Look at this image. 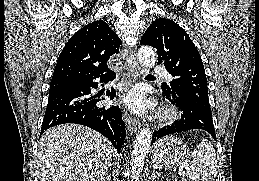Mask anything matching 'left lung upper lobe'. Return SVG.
Returning a JSON list of instances; mask_svg holds the SVG:
<instances>
[{
	"mask_svg": "<svg viewBox=\"0 0 259 181\" xmlns=\"http://www.w3.org/2000/svg\"><path fill=\"white\" fill-rule=\"evenodd\" d=\"M141 45L157 49L158 64L163 63L174 77L161 88L188 98L195 106L211 114L207 78L200 54L183 28L165 18L156 19L140 40Z\"/></svg>",
	"mask_w": 259,
	"mask_h": 181,
	"instance_id": "left-lung-upper-lobe-1",
	"label": "left lung upper lobe"
}]
</instances>
